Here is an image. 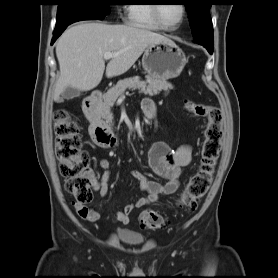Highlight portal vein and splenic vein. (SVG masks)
Segmentation results:
<instances>
[{
	"mask_svg": "<svg viewBox=\"0 0 278 278\" xmlns=\"http://www.w3.org/2000/svg\"><path fill=\"white\" fill-rule=\"evenodd\" d=\"M118 55H119V53L106 52V53H104V59L109 60Z\"/></svg>",
	"mask_w": 278,
	"mask_h": 278,
	"instance_id": "18ae733b",
	"label": "portal vein and splenic vein"
}]
</instances>
